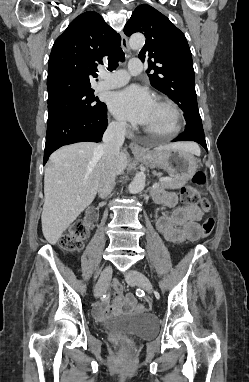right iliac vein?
<instances>
[{"instance_id": "obj_1", "label": "right iliac vein", "mask_w": 249, "mask_h": 382, "mask_svg": "<svg viewBox=\"0 0 249 382\" xmlns=\"http://www.w3.org/2000/svg\"><path fill=\"white\" fill-rule=\"evenodd\" d=\"M111 276H112V267L111 266L105 267L96 284V287L94 290L95 296L98 297L104 293V291L106 290L107 284L109 280L111 279Z\"/></svg>"}]
</instances>
